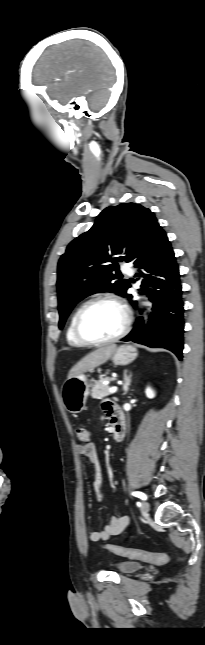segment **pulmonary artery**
<instances>
[{
    "label": "pulmonary artery",
    "mask_w": 205,
    "mask_h": 645,
    "mask_svg": "<svg viewBox=\"0 0 205 645\" xmlns=\"http://www.w3.org/2000/svg\"><path fill=\"white\" fill-rule=\"evenodd\" d=\"M121 270L126 274H132L133 273V270H132L131 266L129 264H126V263L121 266Z\"/></svg>",
    "instance_id": "pulmonary-artery-1"
}]
</instances>
